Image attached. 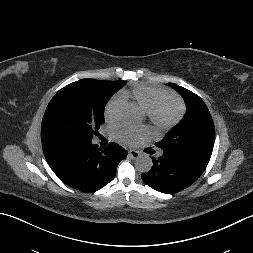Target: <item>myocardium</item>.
Instances as JSON below:
<instances>
[{
  "label": "myocardium",
  "mask_w": 253,
  "mask_h": 253,
  "mask_svg": "<svg viewBox=\"0 0 253 253\" xmlns=\"http://www.w3.org/2000/svg\"><path fill=\"white\" fill-rule=\"evenodd\" d=\"M167 105L173 107V114L169 117L163 115V110ZM184 113L183 102L178 97L168 94L159 99L147 114L150 122L158 131L166 132L182 120Z\"/></svg>",
  "instance_id": "1"
}]
</instances>
